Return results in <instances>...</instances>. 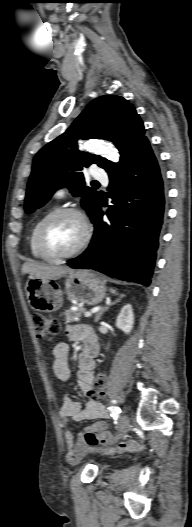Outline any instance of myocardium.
<instances>
[{
    "instance_id": "f54148a6",
    "label": "myocardium",
    "mask_w": 192,
    "mask_h": 527,
    "mask_svg": "<svg viewBox=\"0 0 192 527\" xmlns=\"http://www.w3.org/2000/svg\"><path fill=\"white\" fill-rule=\"evenodd\" d=\"M67 214L75 215L80 219L83 225V235H82V238L79 244L70 252L62 253V254L54 253L51 250H49V248L47 247L46 242H45V235H46V232L49 226L52 224L54 220H56L60 216L67 215ZM91 236H92L91 223L87 215L82 210H80L79 208L70 207V206L60 207V208L54 209L48 216H46V218L39 225L37 233H36V245H37L38 251L46 260L61 261V260L73 258L77 256L78 254H80L89 244Z\"/></svg>"
}]
</instances>
